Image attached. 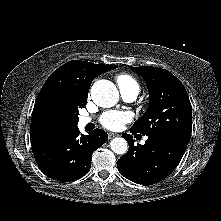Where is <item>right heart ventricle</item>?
Returning a JSON list of instances; mask_svg holds the SVG:
<instances>
[{"label":"right heart ventricle","mask_w":221,"mask_h":221,"mask_svg":"<svg viewBox=\"0 0 221 221\" xmlns=\"http://www.w3.org/2000/svg\"><path fill=\"white\" fill-rule=\"evenodd\" d=\"M119 88L135 89L139 92L140 86L137 80L129 74H120L116 77Z\"/></svg>","instance_id":"e07e8e85"}]
</instances>
